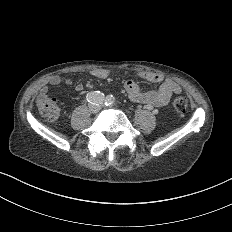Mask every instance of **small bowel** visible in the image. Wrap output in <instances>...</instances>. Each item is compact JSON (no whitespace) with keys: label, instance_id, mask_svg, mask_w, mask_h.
I'll use <instances>...</instances> for the list:
<instances>
[{"label":"small bowel","instance_id":"obj_1","mask_svg":"<svg viewBox=\"0 0 232 232\" xmlns=\"http://www.w3.org/2000/svg\"><path fill=\"white\" fill-rule=\"evenodd\" d=\"M94 77L92 78H82L80 80L81 84L93 85L101 80L105 79L109 71L107 69H96L94 70ZM139 76L142 79L160 83L159 91L153 90H141L138 88L134 80L128 79L125 81V87L128 91L129 99L132 102L147 103L153 106H165L172 94L179 93V84L171 78H163L158 72L153 70H142L139 72ZM51 85L54 87L70 86L72 81L67 78L55 77L50 81ZM49 88L43 86L41 88V93H48Z\"/></svg>","mask_w":232,"mask_h":232}]
</instances>
